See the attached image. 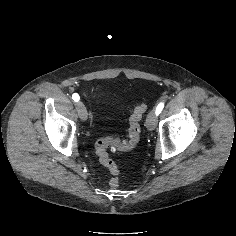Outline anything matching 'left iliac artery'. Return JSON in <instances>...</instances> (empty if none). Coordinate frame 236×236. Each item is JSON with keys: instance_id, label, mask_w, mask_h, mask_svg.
I'll list each match as a JSON object with an SVG mask.
<instances>
[{"instance_id": "left-iliac-artery-1", "label": "left iliac artery", "mask_w": 236, "mask_h": 236, "mask_svg": "<svg viewBox=\"0 0 236 236\" xmlns=\"http://www.w3.org/2000/svg\"><path fill=\"white\" fill-rule=\"evenodd\" d=\"M163 108H164V103L163 102L159 103L158 106L156 107V114L159 115Z\"/></svg>"}]
</instances>
